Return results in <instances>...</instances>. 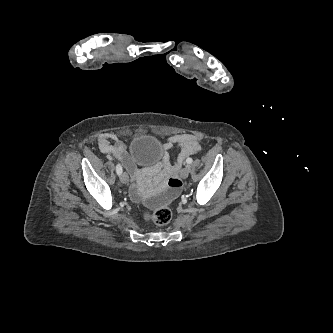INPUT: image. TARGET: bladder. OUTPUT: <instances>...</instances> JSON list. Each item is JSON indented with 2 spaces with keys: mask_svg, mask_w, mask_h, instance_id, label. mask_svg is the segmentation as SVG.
Wrapping results in <instances>:
<instances>
[{
  "mask_svg": "<svg viewBox=\"0 0 333 333\" xmlns=\"http://www.w3.org/2000/svg\"><path fill=\"white\" fill-rule=\"evenodd\" d=\"M163 145L161 141L149 134L135 136L129 146L130 158L138 164H154L162 158Z\"/></svg>",
  "mask_w": 333,
  "mask_h": 333,
  "instance_id": "obj_1",
  "label": "bladder"
}]
</instances>
